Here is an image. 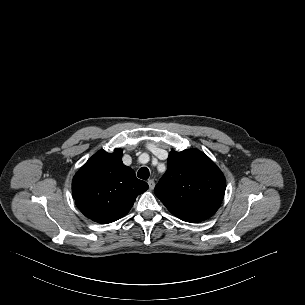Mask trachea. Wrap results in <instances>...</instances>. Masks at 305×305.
Wrapping results in <instances>:
<instances>
[{
	"label": "trachea",
	"instance_id": "obj_1",
	"mask_svg": "<svg viewBox=\"0 0 305 305\" xmlns=\"http://www.w3.org/2000/svg\"><path fill=\"white\" fill-rule=\"evenodd\" d=\"M149 175H150L149 169L146 168V167L140 168V169L138 170V172H137V176H138L140 179L146 180V179L149 178Z\"/></svg>",
	"mask_w": 305,
	"mask_h": 305
}]
</instances>
